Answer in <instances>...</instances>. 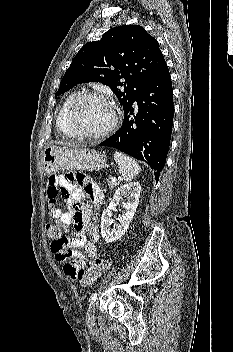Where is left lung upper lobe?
Wrapping results in <instances>:
<instances>
[{
  "instance_id": "5c2ea615",
  "label": "left lung upper lobe",
  "mask_w": 233,
  "mask_h": 352,
  "mask_svg": "<svg viewBox=\"0 0 233 352\" xmlns=\"http://www.w3.org/2000/svg\"><path fill=\"white\" fill-rule=\"evenodd\" d=\"M166 66L156 39L143 27L118 26L78 51L55 97L80 83L101 82L112 89L124 109Z\"/></svg>"
}]
</instances>
